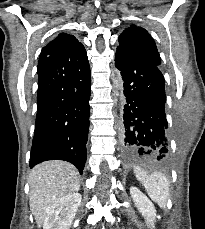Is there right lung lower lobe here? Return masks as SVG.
I'll list each match as a JSON object with an SVG mask.
<instances>
[{
  "label": "right lung lower lobe",
  "instance_id": "1",
  "mask_svg": "<svg viewBox=\"0 0 205 229\" xmlns=\"http://www.w3.org/2000/svg\"><path fill=\"white\" fill-rule=\"evenodd\" d=\"M37 73L38 109L30 168L59 159L72 163L82 174L89 130V63L71 69L50 55L38 63Z\"/></svg>",
  "mask_w": 205,
  "mask_h": 229
}]
</instances>
